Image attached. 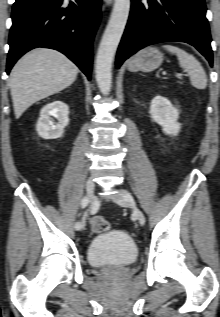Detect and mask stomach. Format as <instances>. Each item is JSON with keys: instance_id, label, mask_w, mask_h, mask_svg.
Instances as JSON below:
<instances>
[{"instance_id": "obj_1", "label": "stomach", "mask_w": 220, "mask_h": 317, "mask_svg": "<svg viewBox=\"0 0 220 317\" xmlns=\"http://www.w3.org/2000/svg\"><path fill=\"white\" fill-rule=\"evenodd\" d=\"M163 62V54L155 47H146L135 54L128 64L131 72H151L157 69Z\"/></svg>"}]
</instances>
